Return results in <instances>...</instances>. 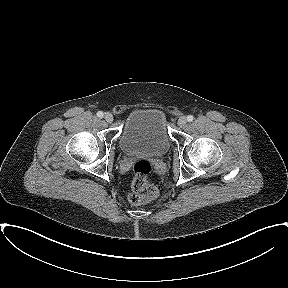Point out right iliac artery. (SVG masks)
<instances>
[{
	"label": "right iliac artery",
	"mask_w": 288,
	"mask_h": 288,
	"mask_svg": "<svg viewBox=\"0 0 288 288\" xmlns=\"http://www.w3.org/2000/svg\"><path fill=\"white\" fill-rule=\"evenodd\" d=\"M97 116H98L99 118H102V117L104 116V114H103L102 111H99V112H97Z\"/></svg>",
	"instance_id": "obj_1"
}]
</instances>
